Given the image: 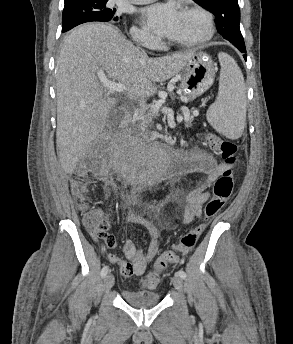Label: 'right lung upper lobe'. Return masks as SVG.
Segmentation results:
<instances>
[{
	"mask_svg": "<svg viewBox=\"0 0 293 344\" xmlns=\"http://www.w3.org/2000/svg\"><path fill=\"white\" fill-rule=\"evenodd\" d=\"M73 1H77V0H65V3H69V2H73Z\"/></svg>",
	"mask_w": 293,
	"mask_h": 344,
	"instance_id": "obj_1",
	"label": "right lung upper lobe"
}]
</instances>
